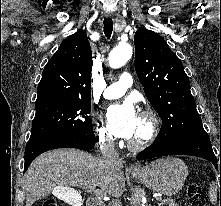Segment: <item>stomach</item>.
<instances>
[{
    "label": "stomach",
    "mask_w": 221,
    "mask_h": 206,
    "mask_svg": "<svg viewBox=\"0 0 221 206\" xmlns=\"http://www.w3.org/2000/svg\"><path fill=\"white\" fill-rule=\"evenodd\" d=\"M132 175L153 191L170 196L183 187L188 169L181 159L167 157L151 162Z\"/></svg>",
    "instance_id": "obj_1"
}]
</instances>
